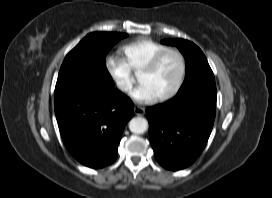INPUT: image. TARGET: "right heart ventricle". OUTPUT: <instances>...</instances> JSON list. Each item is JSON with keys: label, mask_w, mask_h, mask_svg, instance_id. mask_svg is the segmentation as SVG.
<instances>
[{"label": "right heart ventricle", "mask_w": 272, "mask_h": 198, "mask_svg": "<svg viewBox=\"0 0 272 198\" xmlns=\"http://www.w3.org/2000/svg\"><path fill=\"white\" fill-rule=\"evenodd\" d=\"M166 48L169 47L150 38H139L124 45L122 53L131 70L140 73L155 54Z\"/></svg>", "instance_id": "1"}]
</instances>
